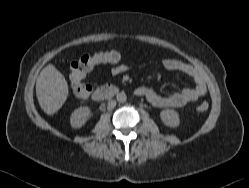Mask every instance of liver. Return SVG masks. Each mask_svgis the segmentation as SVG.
<instances>
[{
  "label": "liver",
  "mask_w": 249,
  "mask_h": 188,
  "mask_svg": "<svg viewBox=\"0 0 249 188\" xmlns=\"http://www.w3.org/2000/svg\"><path fill=\"white\" fill-rule=\"evenodd\" d=\"M68 94V84L62 73L53 64L44 67L36 81V96L42 110L53 115L65 103Z\"/></svg>",
  "instance_id": "obj_1"
}]
</instances>
